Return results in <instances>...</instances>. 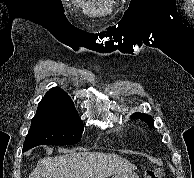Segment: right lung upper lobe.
Listing matches in <instances>:
<instances>
[{"label":"right lung upper lobe","mask_w":194,"mask_h":178,"mask_svg":"<svg viewBox=\"0 0 194 178\" xmlns=\"http://www.w3.org/2000/svg\"><path fill=\"white\" fill-rule=\"evenodd\" d=\"M39 105L51 106L67 112L77 113L71 98L59 87L50 89L43 97Z\"/></svg>","instance_id":"obj_1"}]
</instances>
